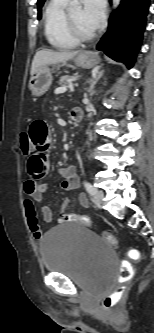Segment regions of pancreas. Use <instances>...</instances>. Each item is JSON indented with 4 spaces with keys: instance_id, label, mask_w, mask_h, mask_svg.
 <instances>
[{
    "instance_id": "obj_1",
    "label": "pancreas",
    "mask_w": 154,
    "mask_h": 333,
    "mask_svg": "<svg viewBox=\"0 0 154 333\" xmlns=\"http://www.w3.org/2000/svg\"><path fill=\"white\" fill-rule=\"evenodd\" d=\"M79 79V76L77 74L75 75H64L59 79V85L68 87V86H73L76 85L74 84V81H77Z\"/></svg>"
}]
</instances>
